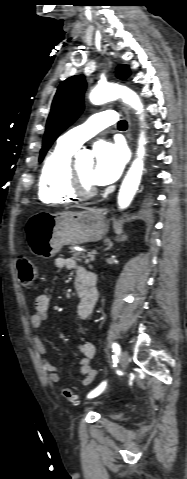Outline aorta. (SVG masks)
<instances>
[{
  "instance_id": "obj_1",
  "label": "aorta",
  "mask_w": 187,
  "mask_h": 479,
  "mask_svg": "<svg viewBox=\"0 0 187 479\" xmlns=\"http://www.w3.org/2000/svg\"><path fill=\"white\" fill-rule=\"evenodd\" d=\"M89 98L95 105L121 98L124 103L130 105L137 111V114L141 115V121L144 119L143 105L139 96L127 87L116 84L98 85L91 91ZM145 143V133L142 131L138 140L137 157L133 161L119 190L118 205L120 209H126L130 205L140 184L144 164Z\"/></svg>"
}]
</instances>
